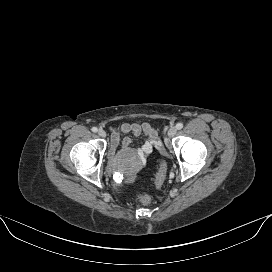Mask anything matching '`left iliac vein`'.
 I'll use <instances>...</instances> for the list:
<instances>
[{"mask_svg":"<svg viewBox=\"0 0 272 272\" xmlns=\"http://www.w3.org/2000/svg\"><path fill=\"white\" fill-rule=\"evenodd\" d=\"M177 132V128L175 126H171L168 130V137H173Z\"/></svg>","mask_w":272,"mask_h":272,"instance_id":"left-iliac-vein-1","label":"left iliac vein"}]
</instances>
